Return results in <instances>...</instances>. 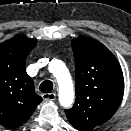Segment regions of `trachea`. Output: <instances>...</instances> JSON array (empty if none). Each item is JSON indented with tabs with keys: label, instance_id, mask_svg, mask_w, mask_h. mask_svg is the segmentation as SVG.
<instances>
[{
	"label": "trachea",
	"instance_id": "trachea-1",
	"mask_svg": "<svg viewBox=\"0 0 131 131\" xmlns=\"http://www.w3.org/2000/svg\"><path fill=\"white\" fill-rule=\"evenodd\" d=\"M39 90L43 93H51L53 90V83L50 80L43 81L40 86Z\"/></svg>",
	"mask_w": 131,
	"mask_h": 131
}]
</instances>
